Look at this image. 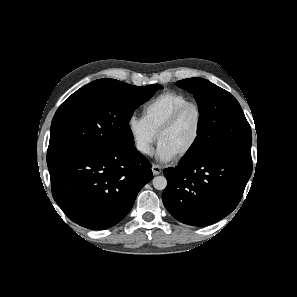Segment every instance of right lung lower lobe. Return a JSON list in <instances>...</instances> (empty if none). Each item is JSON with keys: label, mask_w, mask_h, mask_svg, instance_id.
I'll use <instances>...</instances> for the list:
<instances>
[{"label": "right lung lower lobe", "mask_w": 297, "mask_h": 297, "mask_svg": "<svg viewBox=\"0 0 297 297\" xmlns=\"http://www.w3.org/2000/svg\"><path fill=\"white\" fill-rule=\"evenodd\" d=\"M48 168L56 203L73 222L92 230L120 222L153 177L150 162L134 145L72 153Z\"/></svg>", "instance_id": "1"}]
</instances>
